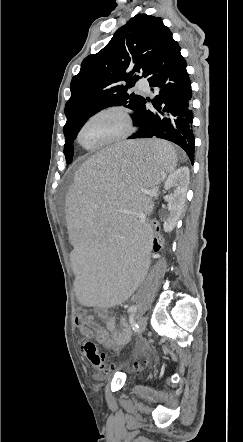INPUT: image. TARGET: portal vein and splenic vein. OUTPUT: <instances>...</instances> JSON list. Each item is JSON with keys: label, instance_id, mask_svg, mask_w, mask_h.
<instances>
[{"label": "portal vein and splenic vein", "instance_id": "18ae733b", "mask_svg": "<svg viewBox=\"0 0 243 442\" xmlns=\"http://www.w3.org/2000/svg\"><path fill=\"white\" fill-rule=\"evenodd\" d=\"M147 194L151 195V196H156L157 195V191L155 189L152 190H146L145 191Z\"/></svg>", "mask_w": 243, "mask_h": 442}]
</instances>
